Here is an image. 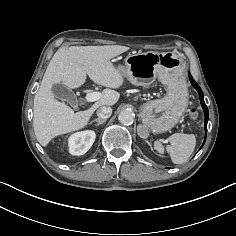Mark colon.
I'll list each match as a JSON object with an SVG mask.
<instances>
[{
	"mask_svg": "<svg viewBox=\"0 0 236 236\" xmlns=\"http://www.w3.org/2000/svg\"><path fill=\"white\" fill-rule=\"evenodd\" d=\"M189 117H190L192 120H196V119H197V112H196L194 109L190 110V112H189Z\"/></svg>",
	"mask_w": 236,
	"mask_h": 236,
	"instance_id": "colon-1",
	"label": "colon"
}]
</instances>
